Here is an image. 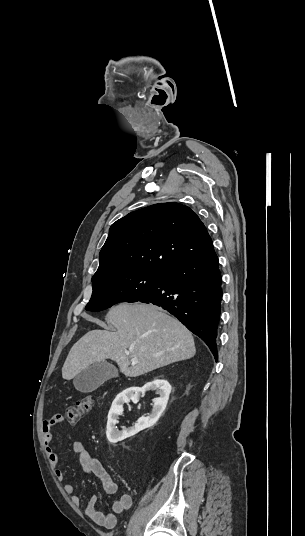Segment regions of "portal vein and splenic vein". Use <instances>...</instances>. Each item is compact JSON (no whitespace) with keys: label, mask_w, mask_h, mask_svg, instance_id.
Returning <instances> with one entry per match:
<instances>
[{"label":"portal vein and splenic vein","mask_w":305,"mask_h":536,"mask_svg":"<svg viewBox=\"0 0 305 536\" xmlns=\"http://www.w3.org/2000/svg\"><path fill=\"white\" fill-rule=\"evenodd\" d=\"M126 356H129V354H126ZM131 362V366H135V364H138V360H134V358H132Z\"/></svg>","instance_id":"18ae733b"}]
</instances>
